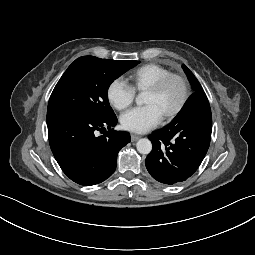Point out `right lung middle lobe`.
<instances>
[{
    "label": "right lung middle lobe",
    "mask_w": 255,
    "mask_h": 255,
    "mask_svg": "<svg viewBox=\"0 0 255 255\" xmlns=\"http://www.w3.org/2000/svg\"><path fill=\"white\" fill-rule=\"evenodd\" d=\"M138 63L94 56L76 59L56 84L48 110L73 109L103 119L115 116L108 101V88L116 78Z\"/></svg>",
    "instance_id": "dd1d6c3e"
}]
</instances>
